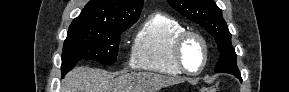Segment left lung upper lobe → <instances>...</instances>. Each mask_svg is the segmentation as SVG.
Returning <instances> with one entry per match:
<instances>
[{
    "label": "left lung upper lobe",
    "instance_id": "1",
    "mask_svg": "<svg viewBox=\"0 0 289 92\" xmlns=\"http://www.w3.org/2000/svg\"><path fill=\"white\" fill-rule=\"evenodd\" d=\"M170 6L191 21L202 26L217 43L220 51L215 72L240 74L236 64V53L231 44V34L222 17V11L213 0H167Z\"/></svg>",
    "mask_w": 289,
    "mask_h": 92
}]
</instances>
